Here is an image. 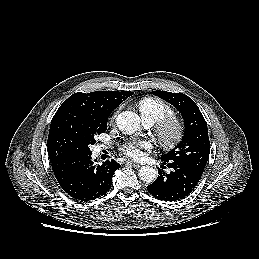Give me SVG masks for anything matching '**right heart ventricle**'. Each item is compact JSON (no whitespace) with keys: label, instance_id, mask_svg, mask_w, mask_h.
<instances>
[{"label":"right heart ventricle","instance_id":"right-heart-ventricle-1","mask_svg":"<svg viewBox=\"0 0 259 259\" xmlns=\"http://www.w3.org/2000/svg\"><path fill=\"white\" fill-rule=\"evenodd\" d=\"M142 119L150 120L153 124L162 118L172 115L173 109L169 104L161 99L154 97H145L138 102Z\"/></svg>","mask_w":259,"mask_h":259}]
</instances>
